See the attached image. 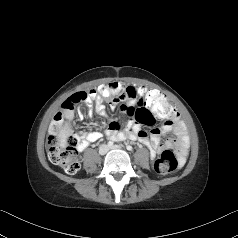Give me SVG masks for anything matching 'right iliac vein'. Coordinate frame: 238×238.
I'll list each match as a JSON object with an SVG mask.
<instances>
[{
    "label": "right iliac vein",
    "instance_id": "63e3f726",
    "mask_svg": "<svg viewBox=\"0 0 238 238\" xmlns=\"http://www.w3.org/2000/svg\"><path fill=\"white\" fill-rule=\"evenodd\" d=\"M108 151V146L107 145H101L99 147V154L100 155H105Z\"/></svg>",
    "mask_w": 238,
    "mask_h": 238
}]
</instances>
